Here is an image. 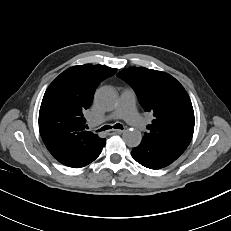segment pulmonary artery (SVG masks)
Listing matches in <instances>:
<instances>
[{"instance_id": "1", "label": "pulmonary artery", "mask_w": 231, "mask_h": 231, "mask_svg": "<svg viewBox=\"0 0 231 231\" xmlns=\"http://www.w3.org/2000/svg\"><path fill=\"white\" fill-rule=\"evenodd\" d=\"M135 100V92L132 89H124L121 92L119 105L116 110L98 122L100 123L113 119H124L136 130H143L145 128V121L136 112ZM96 122L97 121L94 119L91 120V123Z\"/></svg>"}]
</instances>
